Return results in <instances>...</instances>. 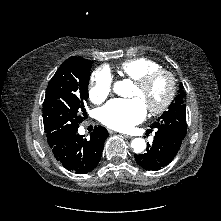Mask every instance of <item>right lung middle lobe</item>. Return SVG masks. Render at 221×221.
<instances>
[{"label": "right lung middle lobe", "mask_w": 221, "mask_h": 221, "mask_svg": "<svg viewBox=\"0 0 221 221\" xmlns=\"http://www.w3.org/2000/svg\"><path fill=\"white\" fill-rule=\"evenodd\" d=\"M92 62L70 57L50 80L43 103V123L49 144L78 129L85 112Z\"/></svg>", "instance_id": "dd1d6c3e"}]
</instances>
